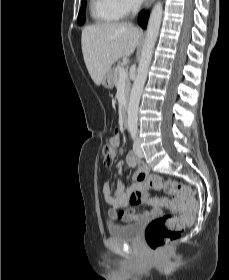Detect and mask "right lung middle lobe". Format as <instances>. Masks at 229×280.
Returning <instances> with one entry per match:
<instances>
[{
    "label": "right lung middle lobe",
    "mask_w": 229,
    "mask_h": 280,
    "mask_svg": "<svg viewBox=\"0 0 229 280\" xmlns=\"http://www.w3.org/2000/svg\"><path fill=\"white\" fill-rule=\"evenodd\" d=\"M85 13H86V0H82V6L78 16L79 25H82L85 22Z\"/></svg>",
    "instance_id": "right-lung-middle-lobe-1"
}]
</instances>
